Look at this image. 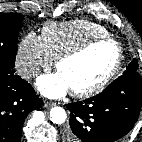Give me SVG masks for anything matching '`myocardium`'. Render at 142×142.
Segmentation results:
<instances>
[{
    "mask_svg": "<svg viewBox=\"0 0 142 142\" xmlns=\"http://www.w3.org/2000/svg\"><path fill=\"white\" fill-rule=\"evenodd\" d=\"M105 43L112 44L117 50V57H116V60L113 64L112 68L101 80H99L95 84H93L85 89L71 90V93L74 96H76V97L93 96V95L99 93L100 91H102L114 79V77L118 73L120 66L122 64V60H123L122 47L118 41H116L115 39H113L111 37H97V38L90 39V40L76 46L75 48L61 54L56 59L55 68H56V70H58L62 63L83 55L84 53H86L87 51H89L91 48H93L96 45L105 44Z\"/></svg>",
    "mask_w": 142,
    "mask_h": 142,
    "instance_id": "f54148a6",
    "label": "myocardium"
}]
</instances>
